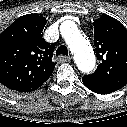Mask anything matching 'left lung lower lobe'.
I'll use <instances>...</instances> for the list:
<instances>
[{
    "mask_svg": "<svg viewBox=\"0 0 127 127\" xmlns=\"http://www.w3.org/2000/svg\"><path fill=\"white\" fill-rule=\"evenodd\" d=\"M82 82L87 88L98 94H109L120 89L114 83L96 78L83 77Z\"/></svg>",
    "mask_w": 127,
    "mask_h": 127,
    "instance_id": "left-lung-lower-lobe-1",
    "label": "left lung lower lobe"
}]
</instances>
